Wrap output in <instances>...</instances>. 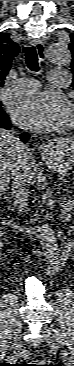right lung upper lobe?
Wrapping results in <instances>:
<instances>
[{"instance_id":"obj_1","label":"right lung upper lobe","mask_w":74,"mask_h":366,"mask_svg":"<svg viewBox=\"0 0 74 366\" xmlns=\"http://www.w3.org/2000/svg\"><path fill=\"white\" fill-rule=\"evenodd\" d=\"M20 52L17 43L13 42L8 34L0 33V86L11 67V62Z\"/></svg>"}]
</instances>
